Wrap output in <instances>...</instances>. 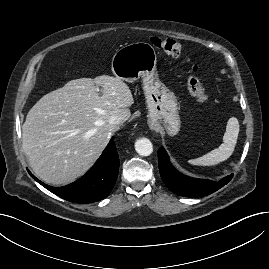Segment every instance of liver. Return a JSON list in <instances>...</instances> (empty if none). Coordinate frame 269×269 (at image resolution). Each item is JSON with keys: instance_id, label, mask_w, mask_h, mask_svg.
Instances as JSON below:
<instances>
[{"instance_id": "6515ba94", "label": "liver", "mask_w": 269, "mask_h": 269, "mask_svg": "<svg viewBox=\"0 0 269 269\" xmlns=\"http://www.w3.org/2000/svg\"><path fill=\"white\" fill-rule=\"evenodd\" d=\"M133 103L127 84L108 75L71 80L44 95L22 126V146L30 167L48 184L75 181L94 164L118 129L110 126L109 119L120 116L124 123Z\"/></svg>"}]
</instances>
